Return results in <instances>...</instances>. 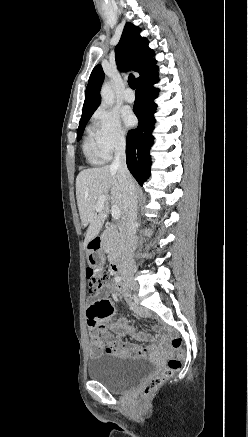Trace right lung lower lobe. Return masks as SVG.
I'll list each match as a JSON object with an SVG mask.
<instances>
[{"mask_svg": "<svg viewBox=\"0 0 248 437\" xmlns=\"http://www.w3.org/2000/svg\"><path fill=\"white\" fill-rule=\"evenodd\" d=\"M156 82H158L157 66L137 81L133 111L139 120V125L128 132L126 140L127 167L141 186L150 176L149 151L154 140L152 130L156 122L154 113L157 107L153 100L159 92L158 88L153 87Z\"/></svg>", "mask_w": 248, "mask_h": 437, "instance_id": "1", "label": "right lung lower lobe"}]
</instances>
